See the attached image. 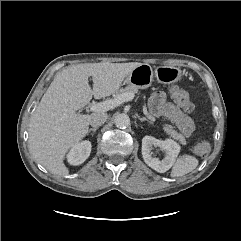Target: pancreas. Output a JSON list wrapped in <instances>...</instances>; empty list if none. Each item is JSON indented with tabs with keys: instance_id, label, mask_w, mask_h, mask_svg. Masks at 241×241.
<instances>
[{
	"instance_id": "pancreas-1",
	"label": "pancreas",
	"mask_w": 241,
	"mask_h": 241,
	"mask_svg": "<svg viewBox=\"0 0 241 241\" xmlns=\"http://www.w3.org/2000/svg\"><path fill=\"white\" fill-rule=\"evenodd\" d=\"M139 88L135 85H128L127 87L125 88H122L120 89L118 92H117V95H120L122 93H138V90ZM164 131L166 132V134H168L170 137H172L173 139L179 141L180 144L182 145H186V139L185 137L178 133L176 130L170 128V127H164Z\"/></svg>"
}]
</instances>
